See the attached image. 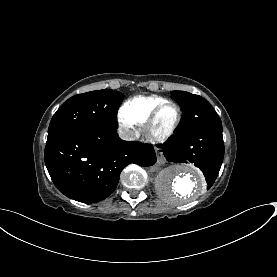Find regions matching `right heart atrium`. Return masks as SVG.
Returning <instances> with one entry per match:
<instances>
[{
  "mask_svg": "<svg viewBox=\"0 0 277 277\" xmlns=\"http://www.w3.org/2000/svg\"><path fill=\"white\" fill-rule=\"evenodd\" d=\"M122 125L125 129H132L134 124L130 121L123 120Z\"/></svg>",
  "mask_w": 277,
  "mask_h": 277,
  "instance_id": "d8ad5b80",
  "label": "right heart atrium"
}]
</instances>
